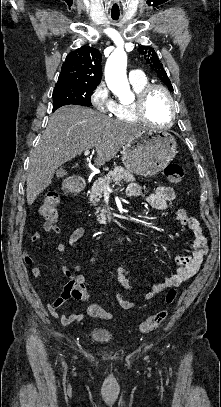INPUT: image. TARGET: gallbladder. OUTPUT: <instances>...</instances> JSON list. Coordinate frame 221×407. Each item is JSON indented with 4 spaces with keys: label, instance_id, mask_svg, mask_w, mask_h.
I'll list each match as a JSON object with an SVG mask.
<instances>
[{
    "label": "gallbladder",
    "instance_id": "obj_1",
    "mask_svg": "<svg viewBox=\"0 0 221 407\" xmlns=\"http://www.w3.org/2000/svg\"><path fill=\"white\" fill-rule=\"evenodd\" d=\"M66 174H67V171L65 169H63V168H60V169L56 170V176L57 177H62L64 175H66Z\"/></svg>",
    "mask_w": 221,
    "mask_h": 407
}]
</instances>
